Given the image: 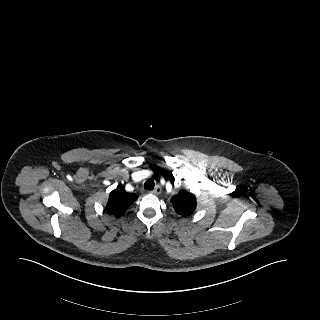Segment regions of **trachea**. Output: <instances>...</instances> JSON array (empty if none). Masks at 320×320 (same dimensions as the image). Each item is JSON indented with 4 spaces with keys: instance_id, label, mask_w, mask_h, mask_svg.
Returning a JSON list of instances; mask_svg holds the SVG:
<instances>
[{
    "instance_id": "trachea-1",
    "label": "trachea",
    "mask_w": 320,
    "mask_h": 320,
    "mask_svg": "<svg viewBox=\"0 0 320 320\" xmlns=\"http://www.w3.org/2000/svg\"><path fill=\"white\" fill-rule=\"evenodd\" d=\"M155 186V183L152 179H148L145 183H144V189L145 190H152Z\"/></svg>"
}]
</instances>
